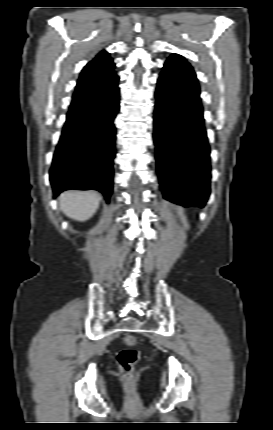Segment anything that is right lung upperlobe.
Listing matches in <instances>:
<instances>
[{"label":"right lung upper lobe","instance_id":"1","mask_svg":"<svg viewBox=\"0 0 273 430\" xmlns=\"http://www.w3.org/2000/svg\"><path fill=\"white\" fill-rule=\"evenodd\" d=\"M115 64L106 51L100 52L82 70L78 79L76 91L72 97L71 106L76 105L88 98L90 88L107 78L116 76Z\"/></svg>","mask_w":273,"mask_h":430}]
</instances>
